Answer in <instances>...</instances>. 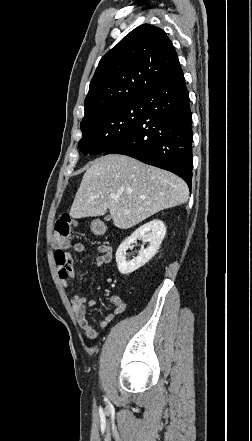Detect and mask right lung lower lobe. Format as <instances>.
<instances>
[{
  "instance_id": "right-lung-lower-lobe-1",
  "label": "right lung lower lobe",
  "mask_w": 252,
  "mask_h": 441,
  "mask_svg": "<svg viewBox=\"0 0 252 441\" xmlns=\"http://www.w3.org/2000/svg\"><path fill=\"white\" fill-rule=\"evenodd\" d=\"M140 99L138 124L104 155L123 154L171 171L191 188L192 114L180 65Z\"/></svg>"
}]
</instances>
